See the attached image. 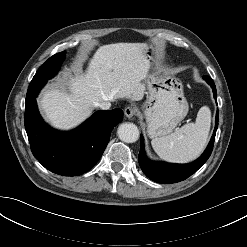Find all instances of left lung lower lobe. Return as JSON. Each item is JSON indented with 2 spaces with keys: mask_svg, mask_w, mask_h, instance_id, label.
I'll return each mask as SVG.
<instances>
[{
  "mask_svg": "<svg viewBox=\"0 0 247 247\" xmlns=\"http://www.w3.org/2000/svg\"><path fill=\"white\" fill-rule=\"evenodd\" d=\"M203 79L211 85L213 89L214 98L217 101V92L214 81L209 76H203ZM218 128V110L216 114V123L211 140L204 151V153L194 162L189 164H170L165 162H153L147 158L144 150V140L141 135V146L139 153V164L144 174L151 180L162 183L170 184L185 180L194 174L201 166L208 160L212 153L213 144L215 140L216 130Z\"/></svg>",
  "mask_w": 247,
  "mask_h": 247,
  "instance_id": "1",
  "label": "left lung lower lobe"
}]
</instances>
